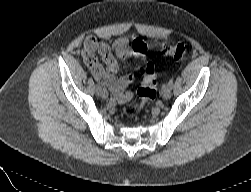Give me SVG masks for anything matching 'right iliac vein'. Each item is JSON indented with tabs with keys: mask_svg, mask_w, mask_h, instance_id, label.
<instances>
[{
	"mask_svg": "<svg viewBox=\"0 0 251 192\" xmlns=\"http://www.w3.org/2000/svg\"><path fill=\"white\" fill-rule=\"evenodd\" d=\"M99 94L104 99H106L108 97V91L105 88L101 89V91L99 92Z\"/></svg>",
	"mask_w": 251,
	"mask_h": 192,
	"instance_id": "obj_1",
	"label": "right iliac vein"
}]
</instances>
